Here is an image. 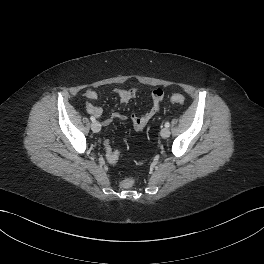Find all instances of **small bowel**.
Wrapping results in <instances>:
<instances>
[{
	"label": "small bowel",
	"instance_id": "small-bowel-1",
	"mask_svg": "<svg viewBox=\"0 0 264 264\" xmlns=\"http://www.w3.org/2000/svg\"><path fill=\"white\" fill-rule=\"evenodd\" d=\"M113 92L118 96L121 103H128L131 99H133L137 95L138 90L136 88L114 89ZM85 97L88 100L97 99V93L93 90H88L85 93ZM163 98H164L163 91L161 89H154L152 91V94H151V100H152L151 106H150L149 110L145 114H143L142 116H137L135 114H131V115L127 116V115H124V114H121L118 112H114L110 115V117L103 120L102 123L104 126H108L109 124L112 123L113 120L130 119L133 127L136 130L143 129L148 124V122L152 119V117L159 112ZM86 109L91 115H93L97 118H100L102 116L103 110L98 105H93L92 103L87 102L86 103ZM116 153H117V157L114 159L106 154L107 160L110 163H116L118 161L119 153L118 152H116Z\"/></svg>",
	"mask_w": 264,
	"mask_h": 264
}]
</instances>
